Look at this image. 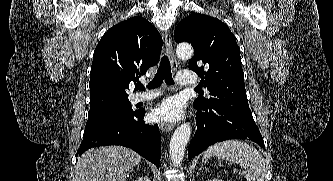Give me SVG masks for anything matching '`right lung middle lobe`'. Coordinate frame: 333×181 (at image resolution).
I'll return each instance as SVG.
<instances>
[{
	"label": "right lung middle lobe",
	"instance_id": "1",
	"mask_svg": "<svg viewBox=\"0 0 333 181\" xmlns=\"http://www.w3.org/2000/svg\"><path fill=\"white\" fill-rule=\"evenodd\" d=\"M132 111L133 110L129 100L119 101L99 108L91 109L88 112V121L85 128L103 123Z\"/></svg>",
	"mask_w": 333,
	"mask_h": 181
}]
</instances>
